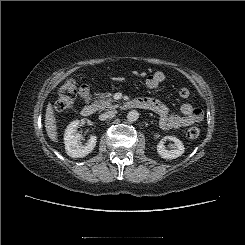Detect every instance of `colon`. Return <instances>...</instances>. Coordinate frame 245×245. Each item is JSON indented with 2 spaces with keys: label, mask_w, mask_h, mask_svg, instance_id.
Masks as SVG:
<instances>
[{
  "label": "colon",
  "mask_w": 245,
  "mask_h": 245,
  "mask_svg": "<svg viewBox=\"0 0 245 245\" xmlns=\"http://www.w3.org/2000/svg\"><path fill=\"white\" fill-rule=\"evenodd\" d=\"M84 87L85 86L79 87L75 79H69L59 89L58 97L55 102V109L59 112L69 110L72 107L77 94H80ZM178 93L181 98H188L190 96V91L186 87H182ZM199 134L200 130L197 127H191L187 130V137L189 139H196Z\"/></svg>",
  "instance_id": "1"
}]
</instances>
